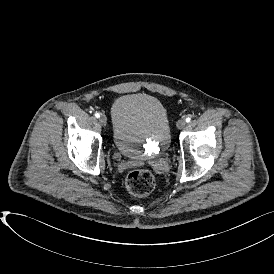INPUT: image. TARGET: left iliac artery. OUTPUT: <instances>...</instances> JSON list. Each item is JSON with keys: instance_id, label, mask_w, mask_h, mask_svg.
<instances>
[{"instance_id": "1", "label": "left iliac artery", "mask_w": 274, "mask_h": 274, "mask_svg": "<svg viewBox=\"0 0 274 274\" xmlns=\"http://www.w3.org/2000/svg\"><path fill=\"white\" fill-rule=\"evenodd\" d=\"M191 121V118L187 117L186 122L189 123Z\"/></svg>"}]
</instances>
